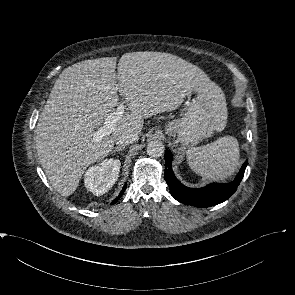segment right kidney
<instances>
[{
    "label": "right kidney",
    "mask_w": 295,
    "mask_h": 295,
    "mask_svg": "<svg viewBox=\"0 0 295 295\" xmlns=\"http://www.w3.org/2000/svg\"><path fill=\"white\" fill-rule=\"evenodd\" d=\"M118 159H106L90 167L84 177L85 187L96 196L105 194L117 181L120 171Z\"/></svg>",
    "instance_id": "ca27d5eb"
}]
</instances>
